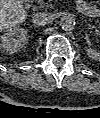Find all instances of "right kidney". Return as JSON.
I'll return each mask as SVG.
<instances>
[{
    "mask_svg": "<svg viewBox=\"0 0 100 118\" xmlns=\"http://www.w3.org/2000/svg\"><path fill=\"white\" fill-rule=\"evenodd\" d=\"M28 32L16 26L6 28L0 36V49L2 52L13 54L28 42Z\"/></svg>",
    "mask_w": 100,
    "mask_h": 118,
    "instance_id": "obj_1",
    "label": "right kidney"
}]
</instances>
